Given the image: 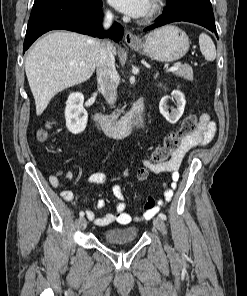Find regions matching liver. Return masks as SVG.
Masks as SVG:
<instances>
[{"mask_svg": "<svg viewBox=\"0 0 247 296\" xmlns=\"http://www.w3.org/2000/svg\"><path fill=\"white\" fill-rule=\"evenodd\" d=\"M100 44L87 35L53 31L34 45L26 57L25 72L38 116L57 93L92 76ZM113 53L116 54L114 46Z\"/></svg>", "mask_w": 247, "mask_h": 296, "instance_id": "1", "label": "liver"}]
</instances>
